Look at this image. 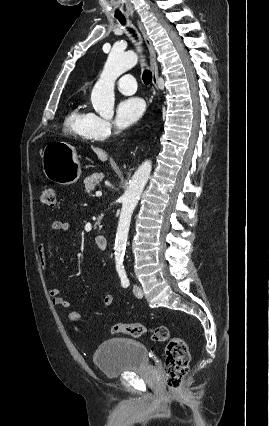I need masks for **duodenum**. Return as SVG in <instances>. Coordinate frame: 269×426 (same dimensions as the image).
Wrapping results in <instances>:
<instances>
[{
    "instance_id": "duodenum-1",
    "label": "duodenum",
    "mask_w": 269,
    "mask_h": 426,
    "mask_svg": "<svg viewBox=\"0 0 269 426\" xmlns=\"http://www.w3.org/2000/svg\"><path fill=\"white\" fill-rule=\"evenodd\" d=\"M96 245L100 250H106L108 247V239L103 235H98L96 237Z\"/></svg>"
}]
</instances>
